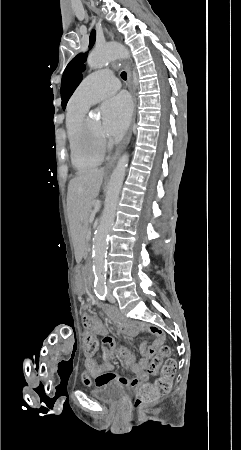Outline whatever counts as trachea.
<instances>
[{
  "mask_svg": "<svg viewBox=\"0 0 241 450\" xmlns=\"http://www.w3.org/2000/svg\"><path fill=\"white\" fill-rule=\"evenodd\" d=\"M121 78H123V80H126V78H127L126 72H122L121 73Z\"/></svg>",
  "mask_w": 241,
  "mask_h": 450,
  "instance_id": "1",
  "label": "trachea"
}]
</instances>
